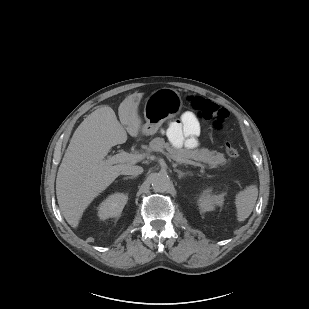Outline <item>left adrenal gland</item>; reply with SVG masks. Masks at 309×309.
I'll list each match as a JSON object with an SVG mask.
<instances>
[{"mask_svg":"<svg viewBox=\"0 0 309 309\" xmlns=\"http://www.w3.org/2000/svg\"><path fill=\"white\" fill-rule=\"evenodd\" d=\"M174 171L178 173L179 179H181L183 176L189 174V172L185 173V172H182L181 170H178V169H174Z\"/></svg>","mask_w":309,"mask_h":309,"instance_id":"a2214340","label":"left adrenal gland"}]
</instances>
